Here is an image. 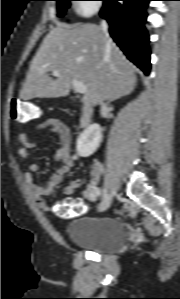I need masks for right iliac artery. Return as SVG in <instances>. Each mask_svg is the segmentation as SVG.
I'll return each mask as SVG.
<instances>
[{
	"instance_id": "1",
	"label": "right iliac artery",
	"mask_w": 180,
	"mask_h": 299,
	"mask_svg": "<svg viewBox=\"0 0 180 299\" xmlns=\"http://www.w3.org/2000/svg\"><path fill=\"white\" fill-rule=\"evenodd\" d=\"M101 191H102V197L104 199L107 196V191L105 188H103Z\"/></svg>"
}]
</instances>
